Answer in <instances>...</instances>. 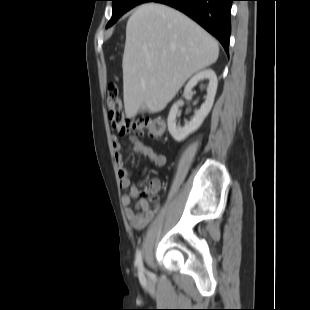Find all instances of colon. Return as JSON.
<instances>
[{"label": "colon", "instance_id": "5ec220e1", "mask_svg": "<svg viewBox=\"0 0 310 310\" xmlns=\"http://www.w3.org/2000/svg\"><path fill=\"white\" fill-rule=\"evenodd\" d=\"M108 117L112 126L121 134L130 132L147 133L150 137H161L166 129V121L163 117H140L132 119L125 114L119 91L116 84H110L107 89ZM143 193L148 195L151 201H156V185L152 182L143 185Z\"/></svg>", "mask_w": 310, "mask_h": 310}]
</instances>
